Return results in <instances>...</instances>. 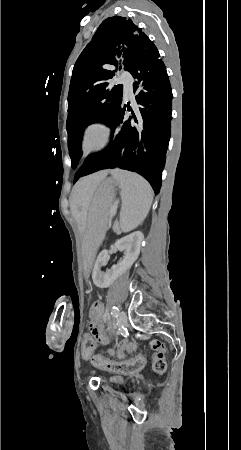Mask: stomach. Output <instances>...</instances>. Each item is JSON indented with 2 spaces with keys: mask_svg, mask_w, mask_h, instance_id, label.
Segmentation results:
<instances>
[{
  "mask_svg": "<svg viewBox=\"0 0 241 450\" xmlns=\"http://www.w3.org/2000/svg\"><path fill=\"white\" fill-rule=\"evenodd\" d=\"M117 182L104 179L97 187L89 208L88 223L81 246L83 275L88 278L97 250L104 238L109 210L116 196Z\"/></svg>",
  "mask_w": 241,
  "mask_h": 450,
  "instance_id": "stomach-1",
  "label": "stomach"
}]
</instances>
